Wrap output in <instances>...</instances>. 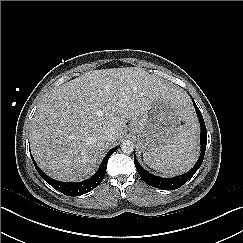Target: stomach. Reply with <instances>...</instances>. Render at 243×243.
Listing matches in <instances>:
<instances>
[{
  "label": "stomach",
  "mask_w": 243,
  "mask_h": 243,
  "mask_svg": "<svg viewBox=\"0 0 243 243\" xmlns=\"http://www.w3.org/2000/svg\"><path fill=\"white\" fill-rule=\"evenodd\" d=\"M180 123L176 105L171 100L162 98L155 101L143 116L133 120L129 131L136 137L143 153L152 154L172 142Z\"/></svg>",
  "instance_id": "obj_1"
}]
</instances>
